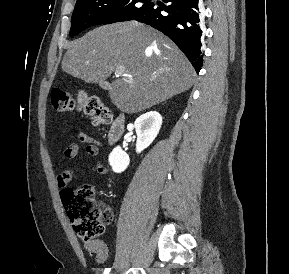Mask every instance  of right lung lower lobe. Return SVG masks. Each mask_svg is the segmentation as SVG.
<instances>
[{"mask_svg":"<svg viewBox=\"0 0 289 274\" xmlns=\"http://www.w3.org/2000/svg\"><path fill=\"white\" fill-rule=\"evenodd\" d=\"M151 6L134 20L146 23L170 37L185 53L196 72L202 65V12L200 0H164ZM167 12V14L164 13Z\"/></svg>","mask_w":289,"mask_h":274,"instance_id":"1","label":"right lung lower lobe"}]
</instances>
